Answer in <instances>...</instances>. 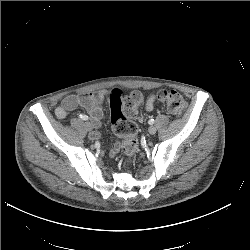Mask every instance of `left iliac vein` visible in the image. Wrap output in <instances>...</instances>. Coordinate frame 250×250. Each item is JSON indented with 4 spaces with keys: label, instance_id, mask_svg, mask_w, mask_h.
<instances>
[{
    "label": "left iliac vein",
    "instance_id": "left-iliac-vein-1",
    "mask_svg": "<svg viewBox=\"0 0 250 250\" xmlns=\"http://www.w3.org/2000/svg\"><path fill=\"white\" fill-rule=\"evenodd\" d=\"M156 131H157V129H156V127H154V126H151V127H149V129H148V132H149V134H151V135L155 134Z\"/></svg>",
    "mask_w": 250,
    "mask_h": 250
}]
</instances>
